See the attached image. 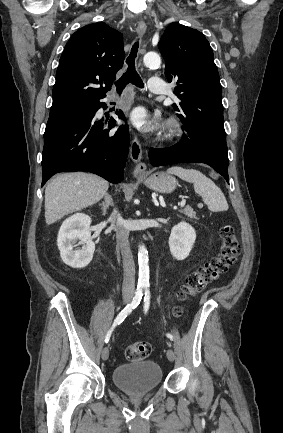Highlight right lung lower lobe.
<instances>
[{
    "mask_svg": "<svg viewBox=\"0 0 283 433\" xmlns=\"http://www.w3.org/2000/svg\"><path fill=\"white\" fill-rule=\"evenodd\" d=\"M106 97V96H104ZM58 111H50L44 133L42 153V185L58 172L87 171L112 183L123 180V168L129 150L126 125L110 131L115 124L95 119V113L105 104L99 100ZM124 119L122 111H116Z\"/></svg>",
    "mask_w": 283,
    "mask_h": 433,
    "instance_id": "right-lung-lower-lobe-1",
    "label": "right lung lower lobe"
}]
</instances>
